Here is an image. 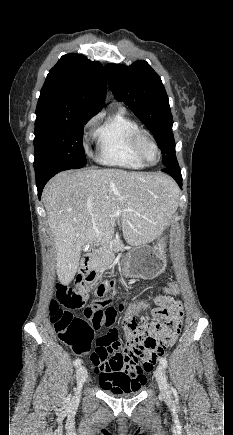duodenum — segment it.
<instances>
[{"mask_svg": "<svg viewBox=\"0 0 233 435\" xmlns=\"http://www.w3.org/2000/svg\"><path fill=\"white\" fill-rule=\"evenodd\" d=\"M108 249V243L107 242H101L99 243L91 252H88L84 255L83 257V262H82V268L81 271L87 272V271H92L93 270V261L95 259V257L101 253L104 252ZM103 292V285H98L95 289V294L97 296H100Z\"/></svg>", "mask_w": 233, "mask_h": 435, "instance_id": "obj_1", "label": "duodenum"}]
</instances>
